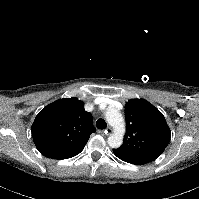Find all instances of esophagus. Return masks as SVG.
Segmentation results:
<instances>
[{"label": "esophagus", "mask_w": 199, "mask_h": 199, "mask_svg": "<svg viewBox=\"0 0 199 199\" xmlns=\"http://www.w3.org/2000/svg\"><path fill=\"white\" fill-rule=\"evenodd\" d=\"M113 132V129L111 127H107L105 130H104V133L105 135H110L111 133Z\"/></svg>", "instance_id": "esophagus-1"}]
</instances>
